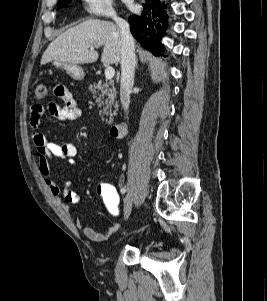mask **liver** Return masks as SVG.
I'll use <instances>...</instances> for the list:
<instances>
[{"label":"liver","mask_w":267,"mask_h":301,"mask_svg":"<svg viewBox=\"0 0 267 301\" xmlns=\"http://www.w3.org/2000/svg\"><path fill=\"white\" fill-rule=\"evenodd\" d=\"M100 46H104L101 62L117 66L122 51L118 25L110 21L88 19L52 41L42 55L41 65L52 61L77 65L93 63L98 59V52L91 48Z\"/></svg>","instance_id":"liver-1"}]
</instances>
